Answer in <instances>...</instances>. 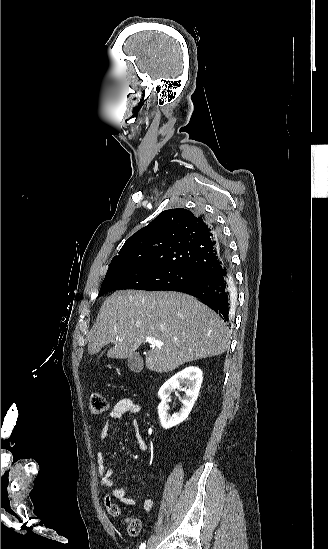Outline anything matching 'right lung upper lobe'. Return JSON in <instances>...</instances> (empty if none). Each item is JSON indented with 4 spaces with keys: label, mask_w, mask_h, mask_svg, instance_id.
Masks as SVG:
<instances>
[{
    "label": "right lung upper lobe",
    "mask_w": 328,
    "mask_h": 549,
    "mask_svg": "<svg viewBox=\"0 0 328 549\" xmlns=\"http://www.w3.org/2000/svg\"><path fill=\"white\" fill-rule=\"evenodd\" d=\"M216 227L183 208L160 213L126 240L108 268L150 263L188 268L208 275L223 268L226 251Z\"/></svg>",
    "instance_id": "cb5924a9"
}]
</instances>
